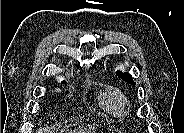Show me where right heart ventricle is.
I'll use <instances>...</instances> for the list:
<instances>
[{
  "label": "right heart ventricle",
  "mask_w": 184,
  "mask_h": 133,
  "mask_svg": "<svg viewBox=\"0 0 184 133\" xmlns=\"http://www.w3.org/2000/svg\"><path fill=\"white\" fill-rule=\"evenodd\" d=\"M101 105L113 114L123 111L124 100L122 95L115 89H106L100 97Z\"/></svg>",
  "instance_id": "obj_1"
}]
</instances>
